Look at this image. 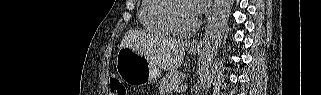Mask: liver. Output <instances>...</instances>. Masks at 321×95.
Returning <instances> with one entry per match:
<instances>
[{
  "label": "liver",
  "mask_w": 321,
  "mask_h": 95,
  "mask_svg": "<svg viewBox=\"0 0 321 95\" xmlns=\"http://www.w3.org/2000/svg\"><path fill=\"white\" fill-rule=\"evenodd\" d=\"M121 48L128 47L149 59L164 70L174 71L183 62L187 43L172 38L151 37L138 30H129L123 37Z\"/></svg>",
  "instance_id": "obj_1"
}]
</instances>
